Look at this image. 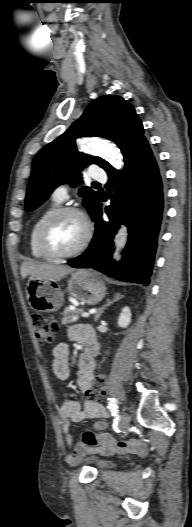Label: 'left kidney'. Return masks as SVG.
I'll list each match as a JSON object with an SVG mask.
<instances>
[{
  "label": "left kidney",
  "mask_w": 192,
  "mask_h": 527,
  "mask_svg": "<svg viewBox=\"0 0 192 527\" xmlns=\"http://www.w3.org/2000/svg\"><path fill=\"white\" fill-rule=\"evenodd\" d=\"M131 322V311L129 307H124L118 318V326L126 328Z\"/></svg>",
  "instance_id": "5707ae66"
}]
</instances>
